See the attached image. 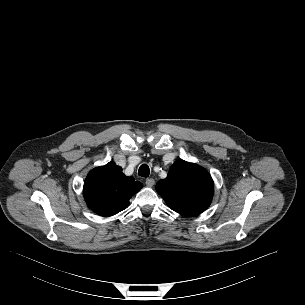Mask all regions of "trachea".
Here are the masks:
<instances>
[{
  "mask_svg": "<svg viewBox=\"0 0 305 305\" xmlns=\"http://www.w3.org/2000/svg\"><path fill=\"white\" fill-rule=\"evenodd\" d=\"M138 174L141 177H145V178L148 177L150 174V169H149L148 165H146V164L141 165L138 170Z\"/></svg>",
  "mask_w": 305,
  "mask_h": 305,
  "instance_id": "obj_1",
  "label": "trachea"
}]
</instances>
